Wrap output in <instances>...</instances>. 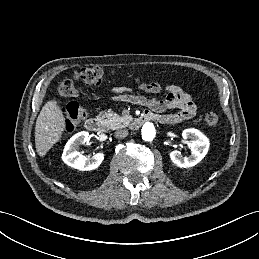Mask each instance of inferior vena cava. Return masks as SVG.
<instances>
[{
	"instance_id": "602c4592",
	"label": "inferior vena cava",
	"mask_w": 259,
	"mask_h": 259,
	"mask_svg": "<svg viewBox=\"0 0 259 259\" xmlns=\"http://www.w3.org/2000/svg\"><path fill=\"white\" fill-rule=\"evenodd\" d=\"M127 135H128V131L125 130V129L117 130V131H115V133H114V136H115L116 138H118V139L125 138V137H127Z\"/></svg>"
}]
</instances>
